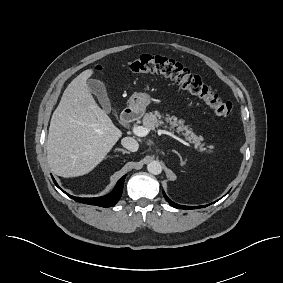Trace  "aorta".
Returning <instances> with one entry per match:
<instances>
[{
	"mask_svg": "<svg viewBox=\"0 0 283 283\" xmlns=\"http://www.w3.org/2000/svg\"><path fill=\"white\" fill-rule=\"evenodd\" d=\"M147 170L154 175H158L162 172V165L159 161H152L147 165Z\"/></svg>",
	"mask_w": 283,
	"mask_h": 283,
	"instance_id": "762f6f07",
	"label": "aorta"
}]
</instances>
